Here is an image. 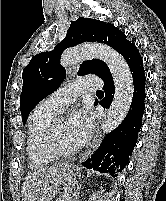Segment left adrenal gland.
I'll list each match as a JSON object with an SVG mask.
<instances>
[{"label": "left adrenal gland", "mask_w": 166, "mask_h": 201, "mask_svg": "<svg viewBox=\"0 0 166 201\" xmlns=\"http://www.w3.org/2000/svg\"><path fill=\"white\" fill-rule=\"evenodd\" d=\"M76 199H78V195H79V190H80V186L79 185H77V187H76Z\"/></svg>", "instance_id": "1"}]
</instances>
